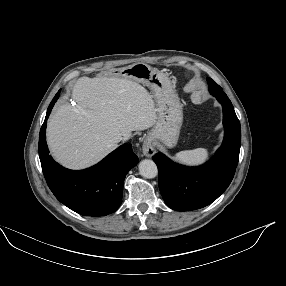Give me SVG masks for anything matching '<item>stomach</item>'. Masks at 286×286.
Masks as SVG:
<instances>
[{
	"mask_svg": "<svg viewBox=\"0 0 286 286\" xmlns=\"http://www.w3.org/2000/svg\"><path fill=\"white\" fill-rule=\"evenodd\" d=\"M117 75L141 83L152 91L157 119L147 134L146 142L174 147L179 138L183 111L168 75L141 62L120 69Z\"/></svg>",
	"mask_w": 286,
	"mask_h": 286,
	"instance_id": "1",
	"label": "stomach"
}]
</instances>
